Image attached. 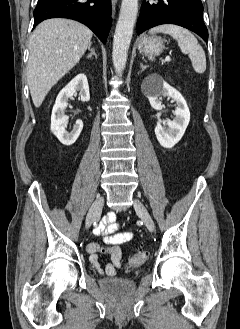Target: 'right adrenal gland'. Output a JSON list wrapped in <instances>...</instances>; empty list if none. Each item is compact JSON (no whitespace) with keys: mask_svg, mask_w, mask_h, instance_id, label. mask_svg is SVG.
<instances>
[{"mask_svg":"<svg viewBox=\"0 0 240 329\" xmlns=\"http://www.w3.org/2000/svg\"><path fill=\"white\" fill-rule=\"evenodd\" d=\"M90 46L88 48V50L90 51V53L88 54L87 58L90 59L92 56H94L95 58H97V55L95 53V50L94 49H91Z\"/></svg>","mask_w":240,"mask_h":329,"instance_id":"2a0ac1e0","label":"right adrenal gland"}]
</instances>
